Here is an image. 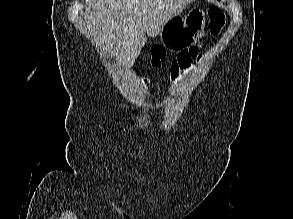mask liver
Here are the masks:
<instances>
[{
  "instance_id": "obj_1",
  "label": "liver",
  "mask_w": 293,
  "mask_h": 219,
  "mask_svg": "<svg viewBox=\"0 0 293 219\" xmlns=\"http://www.w3.org/2000/svg\"><path fill=\"white\" fill-rule=\"evenodd\" d=\"M194 0H88L84 33L103 53L129 69L148 36L182 13Z\"/></svg>"
}]
</instances>
